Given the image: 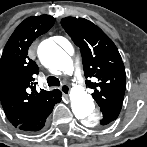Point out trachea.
<instances>
[{
	"instance_id": "obj_1",
	"label": "trachea",
	"mask_w": 147,
	"mask_h": 147,
	"mask_svg": "<svg viewBox=\"0 0 147 147\" xmlns=\"http://www.w3.org/2000/svg\"><path fill=\"white\" fill-rule=\"evenodd\" d=\"M47 84H48V86H60V81L58 78H56L54 76H49L47 78Z\"/></svg>"
}]
</instances>
